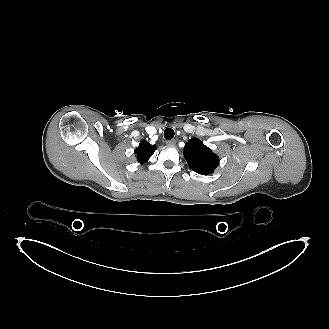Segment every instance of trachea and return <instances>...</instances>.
<instances>
[{
    "label": "trachea",
    "mask_w": 329,
    "mask_h": 329,
    "mask_svg": "<svg viewBox=\"0 0 329 329\" xmlns=\"http://www.w3.org/2000/svg\"><path fill=\"white\" fill-rule=\"evenodd\" d=\"M174 130L173 129H171V128H167V129H165V131H164V138L166 139V140H171L173 137H174Z\"/></svg>",
    "instance_id": "obj_1"
}]
</instances>
